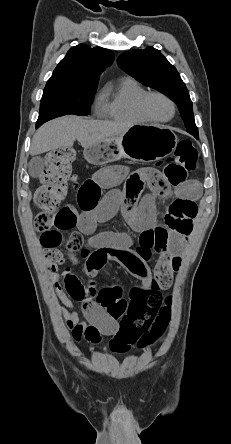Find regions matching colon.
Segmentation results:
<instances>
[{"label": "colon", "instance_id": "obj_1", "mask_svg": "<svg viewBox=\"0 0 231 444\" xmlns=\"http://www.w3.org/2000/svg\"><path fill=\"white\" fill-rule=\"evenodd\" d=\"M72 150L54 151L46 157V167L41 176V184L35 193V203L42 211L35 218V227L46 233H61L75 226V215L65 207L60 208L71 177ZM199 168L196 149L188 140L181 141L175 154L163 166L167 181L175 187L187 185L188 174ZM154 170V169H146ZM168 228L188 235L192 229V219L197 212L196 204L187 200H178L170 207ZM161 235L163 229L156 228ZM44 243L43 237L41 238ZM63 285L67 293L75 299L84 296V286L74 272L67 268L63 274ZM170 298L164 299L160 288H153L144 294H138L129 302L126 313L119 322V330L110 340L109 346L114 353H125L132 345L140 348L154 343L165 331L170 311Z\"/></svg>", "mask_w": 231, "mask_h": 444}]
</instances>
